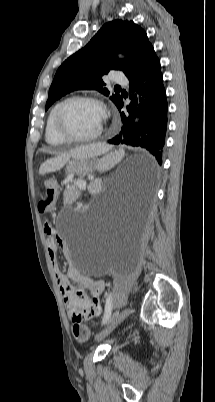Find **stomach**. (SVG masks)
<instances>
[{
  "label": "stomach",
  "instance_id": "obj_1",
  "mask_svg": "<svg viewBox=\"0 0 215 402\" xmlns=\"http://www.w3.org/2000/svg\"><path fill=\"white\" fill-rule=\"evenodd\" d=\"M94 170V166L87 162L84 158H75L72 161L68 162L66 167V171L68 173L77 175L79 178H83L84 176L92 173Z\"/></svg>",
  "mask_w": 215,
  "mask_h": 402
}]
</instances>
